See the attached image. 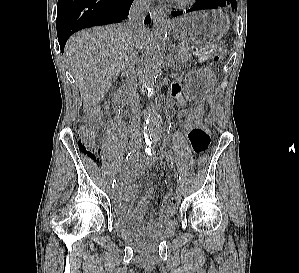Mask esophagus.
<instances>
[{"label": "esophagus", "mask_w": 299, "mask_h": 273, "mask_svg": "<svg viewBox=\"0 0 299 273\" xmlns=\"http://www.w3.org/2000/svg\"><path fill=\"white\" fill-rule=\"evenodd\" d=\"M151 16L154 21H160V20L168 21L166 18V14L164 13V9L161 7L152 8Z\"/></svg>", "instance_id": "esophagus-1"}]
</instances>
